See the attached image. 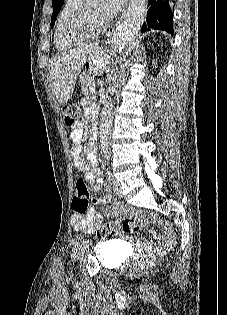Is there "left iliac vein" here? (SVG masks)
<instances>
[{
	"label": "left iliac vein",
	"instance_id": "1",
	"mask_svg": "<svg viewBox=\"0 0 227 315\" xmlns=\"http://www.w3.org/2000/svg\"><path fill=\"white\" fill-rule=\"evenodd\" d=\"M113 189H114V193L118 196L121 197L122 196V192H121V185L120 182L116 179H114L113 182ZM86 249V243H83L79 249L80 253H83Z\"/></svg>",
	"mask_w": 227,
	"mask_h": 315
}]
</instances>
